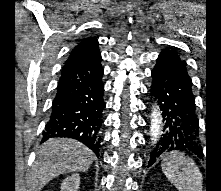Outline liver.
Returning a JSON list of instances; mask_svg holds the SVG:
<instances>
[{"instance_id":"1","label":"liver","mask_w":221,"mask_h":191,"mask_svg":"<svg viewBox=\"0 0 221 191\" xmlns=\"http://www.w3.org/2000/svg\"><path fill=\"white\" fill-rule=\"evenodd\" d=\"M37 155L38 161L32 167L29 179L32 191H41L60 174L88 170L95 158L86 146L69 138L49 139L42 144Z\"/></svg>"}]
</instances>
